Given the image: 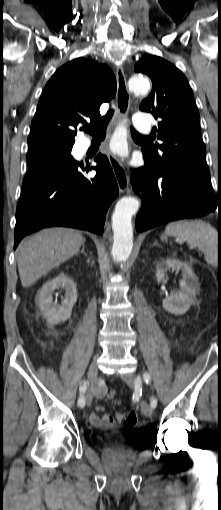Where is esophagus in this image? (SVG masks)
Wrapping results in <instances>:
<instances>
[{"instance_id": "1", "label": "esophagus", "mask_w": 221, "mask_h": 510, "mask_svg": "<svg viewBox=\"0 0 221 510\" xmlns=\"http://www.w3.org/2000/svg\"><path fill=\"white\" fill-rule=\"evenodd\" d=\"M117 93L115 122L120 123L128 113L130 95L128 92L126 77L121 66L116 68ZM109 162L115 175L121 193L129 191V178L120 161L110 152H107Z\"/></svg>"}]
</instances>
